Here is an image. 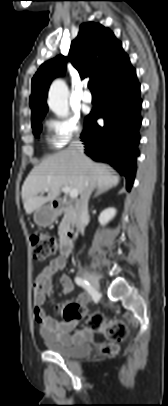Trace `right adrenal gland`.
<instances>
[{
	"label": "right adrenal gland",
	"mask_w": 168,
	"mask_h": 406,
	"mask_svg": "<svg viewBox=\"0 0 168 406\" xmlns=\"http://www.w3.org/2000/svg\"><path fill=\"white\" fill-rule=\"evenodd\" d=\"M104 191H105L104 189L99 190V191L94 195L93 198H95V197H97L98 195L102 194Z\"/></svg>",
	"instance_id": "right-adrenal-gland-1"
}]
</instances>
